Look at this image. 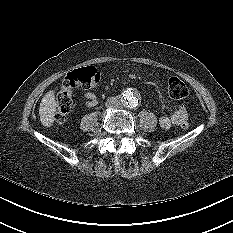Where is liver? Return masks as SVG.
Listing matches in <instances>:
<instances>
[{"mask_svg":"<svg viewBox=\"0 0 233 233\" xmlns=\"http://www.w3.org/2000/svg\"><path fill=\"white\" fill-rule=\"evenodd\" d=\"M57 106L58 103L55 100V92L50 90L42 98L39 108L40 121L43 126L51 127L53 125Z\"/></svg>","mask_w":233,"mask_h":233,"instance_id":"liver-1","label":"liver"}]
</instances>
